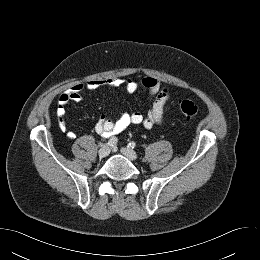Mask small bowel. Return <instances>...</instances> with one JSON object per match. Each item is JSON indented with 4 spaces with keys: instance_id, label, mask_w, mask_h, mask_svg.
I'll return each mask as SVG.
<instances>
[{
    "instance_id": "1",
    "label": "small bowel",
    "mask_w": 260,
    "mask_h": 260,
    "mask_svg": "<svg viewBox=\"0 0 260 260\" xmlns=\"http://www.w3.org/2000/svg\"><path fill=\"white\" fill-rule=\"evenodd\" d=\"M119 87H124L128 93H133L139 87H144L147 90V96L149 98H154L152 106L145 115L139 112L125 113L114 121L107 119L105 116H100L95 123V130L99 135L108 137L119 134L132 125H141L146 129H150L154 125L162 123L171 98V92L168 88L164 87L162 83L153 76H146L140 81L112 77L78 82L65 90L59 97L58 108L56 110L60 128L64 131L67 129L65 123L66 105L69 102L80 101L81 93L84 90H99L103 88ZM67 135L71 139L76 137V134L73 131H68Z\"/></svg>"
}]
</instances>
